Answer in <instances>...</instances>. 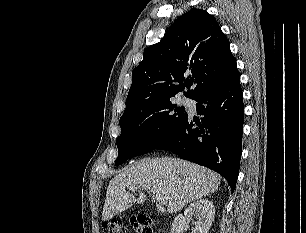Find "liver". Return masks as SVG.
Returning a JSON list of instances; mask_svg holds the SVG:
<instances>
[{
	"label": "liver",
	"instance_id": "liver-1",
	"mask_svg": "<svg viewBox=\"0 0 306 233\" xmlns=\"http://www.w3.org/2000/svg\"><path fill=\"white\" fill-rule=\"evenodd\" d=\"M220 185L215 172L176 158L144 159L116 175L109 183L102 212L107 221L135 203H144L146 195H131L126 188H137L168 199V213H176L188 203L214 193Z\"/></svg>",
	"mask_w": 306,
	"mask_h": 233
}]
</instances>
